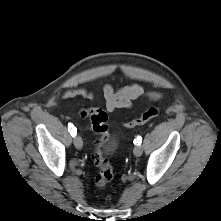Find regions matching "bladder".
<instances>
[{"label": "bladder", "mask_w": 221, "mask_h": 221, "mask_svg": "<svg viewBox=\"0 0 221 221\" xmlns=\"http://www.w3.org/2000/svg\"><path fill=\"white\" fill-rule=\"evenodd\" d=\"M116 146H117L116 142L112 141L111 143L108 144L107 151L113 153L116 149Z\"/></svg>", "instance_id": "1"}]
</instances>
